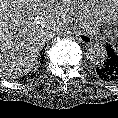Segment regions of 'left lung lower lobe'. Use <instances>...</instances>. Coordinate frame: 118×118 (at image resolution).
Listing matches in <instances>:
<instances>
[{
  "mask_svg": "<svg viewBox=\"0 0 118 118\" xmlns=\"http://www.w3.org/2000/svg\"><path fill=\"white\" fill-rule=\"evenodd\" d=\"M106 51L107 57L96 72L103 80L118 83V51H115L110 45L106 46Z\"/></svg>",
  "mask_w": 118,
  "mask_h": 118,
  "instance_id": "left-lung-lower-lobe-1",
  "label": "left lung lower lobe"
}]
</instances>
